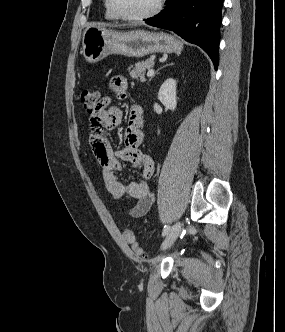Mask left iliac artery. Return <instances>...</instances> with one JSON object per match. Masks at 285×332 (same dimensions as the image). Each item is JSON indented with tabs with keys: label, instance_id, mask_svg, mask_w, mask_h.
Here are the masks:
<instances>
[{
	"label": "left iliac artery",
	"instance_id": "obj_1",
	"mask_svg": "<svg viewBox=\"0 0 285 332\" xmlns=\"http://www.w3.org/2000/svg\"><path fill=\"white\" fill-rule=\"evenodd\" d=\"M169 230H170V227H169L168 225H166V226L164 227L163 231H162V236L167 235L168 232H169Z\"/></svg>",
	"mask_w": 285,
	"mask_h": 332
}]
</instances>
